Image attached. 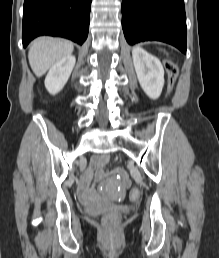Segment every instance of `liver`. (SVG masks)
<instances>
[{
    "label": "liver",
    "mask_w": 219,
    "mask_h": 258,
    "mask_svg": "<svg viewBox=\"0 0 219 258\" xmlns=\"http://www.w3.org/2000/svg\"><path fill=\"white\" fill-rule=\"evenodd\" d=\"M73 49V44L67 40L38 38L32 43L28 52L30 66L35 75L41 77L56 62L71 55Z\"/></svg>",
    "instance_id": "liver-1"
}]
</instances>
